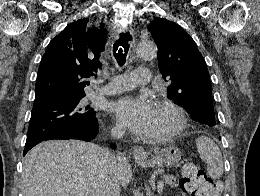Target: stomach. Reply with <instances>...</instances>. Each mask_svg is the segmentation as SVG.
Segmentation results:
<instances>
[{
  "label": "stomach",
  "instance_id": "stomach-1",
  "mask_svg": "<svg viewBox=\"0 0 260 196\" xmlns=\"http://www.w3.org/2000/svg\"><path fill=\"white\" fill-rule=\"evenodd\" d=\"M181 156L182 152L177 146H167V148H155L151 158L136 160V162L145 168H170L181 160Z\"/></svg>",
  "mask_w": 260,
  "mask_h": 196
}]
</instances>
